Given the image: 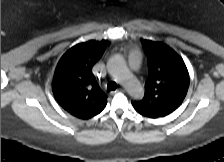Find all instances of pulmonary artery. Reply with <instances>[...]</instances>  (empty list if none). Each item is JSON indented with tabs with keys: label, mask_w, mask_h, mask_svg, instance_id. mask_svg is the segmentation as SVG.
Listing matches in <instances>:
<instances>
[{
	"label": "pulmonary artery",
	"mask_w": 224,
	"mask_h": 162,
	"mask_svg": "<svg viewBox=\"0 0 224 162\" xmlns=\"http://www.w3.org/2000/svg\"><path fill=\"white\" fill-rule=\"evenodd\" d=\"M131 66H132L133 69H136V68H137L136 61L133 60V61L131 62Z\"/></svg>",
	"instance_id": "1"
}]
</instances>
